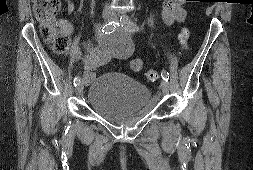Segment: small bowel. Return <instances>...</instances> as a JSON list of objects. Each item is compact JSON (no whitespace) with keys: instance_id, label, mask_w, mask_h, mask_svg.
I'll return each mask as SVG.
<instances>
[{"instance_id":"1","label":"small bowel","mask_w":253,"mask_h":170,"mask_svg":"<svg viewBox=\"0 0 253 170\" xmlns=\"http://www.w3.org/2000/svg\"><path fill=\"white\" fill-rule=\"evenodd\" d=\"M186 0H164L161 14L164 22L167 25L173 23H180L184 21L186 12L183 4ZM67 10L72 13L75 10V5L71 1L67 2ZM60 26L65 33L71 34L74 30L73 25L67 21L62 20ZM84 46L90 50L89 55L84 60V78L86 83H89L94 77V71L107 63L113 57V51L106 49L92 48L90 41H84ZM143 63L141 59L133 57L129 60V69L133 72H138L142 69Z\"/></svg>"}]
</instances>
